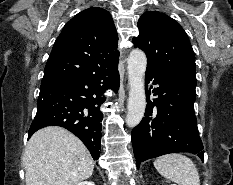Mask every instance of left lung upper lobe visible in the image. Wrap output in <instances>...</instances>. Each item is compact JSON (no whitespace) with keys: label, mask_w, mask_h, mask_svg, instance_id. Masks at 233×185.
Instances as JSON below:
<instances>
[{"label":"left lung upper lobe","mask_w":233,"mask_h":185,"mask_svg":"<svg viewBox=\"0 0 233 185\" xmlns=\"http://www.w3.org/2000/svg\"><path fill=\"white\" fill-rule=\"evenodd\" d=\"M139 36L132 42L147 56V68L195 77V56L184 29L171 17L148 11L138 20Z\"/></svg>","instance_id":"left-lung-upper-lobe-1"}]
</instances>
